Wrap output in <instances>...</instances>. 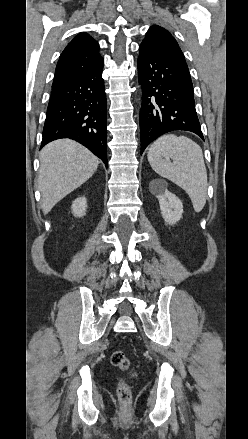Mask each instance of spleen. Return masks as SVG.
Instances as JSON below:
<instances>
[{
  "label": "spleen",
  "instance_id": "spleen-1",
  "mask_svg": "<svg viewBox=\"0 0 248 439\" xmlns=\"http://www.w3.org/2000/svg\"><path fill=\"white\" fill-rule=\"evenodd\" d=\"M147 157L157 174L185 190L194 210L202 211L208 183L203 152L197 143L185 136L164 135L151 145Z\"/></svg>",
  "mask_w": 248,
  "mask_h": 439
}]
</instances>
